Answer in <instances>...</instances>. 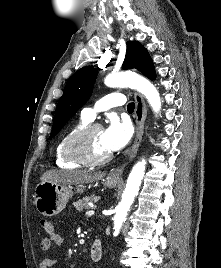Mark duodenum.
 I'll list each match as a JSON object with an SVG mask.
<instances>
[{"instance_id": "duodenum-1", "label": "duodenum", "mask_w": 221, "mask_h": 268, "mask_svg": "<svg viewBox=\"0 0 221 268\" xmlns=\"http://www.w3.org/2000/svg\"><path fill=\"white\" fill-rule=\"evenodd\" d=\"M103 256V245L99 239H96L90 248V258L92 261L97 262Z\"/></svg>"}]
</instances>
